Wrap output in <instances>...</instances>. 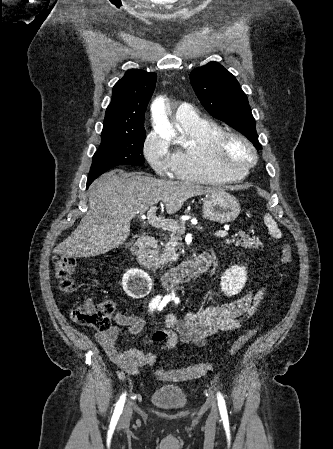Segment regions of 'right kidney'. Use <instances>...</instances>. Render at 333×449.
<instances>
[{
    "label": "right kidney",
    "mask_w": 333,
    "mask_h": 449,
    "mask_svg": "<svg viewBox=\"0 0 333 449\" xmlns=\"http://www.w3.org/2000/svg\"><path fill=\"white\" fill-rule=\"evenodd\" d=\"M122 286L128 296L132 298H141L151 290L152 280L145 271L131 269L124 274Z\"/></svg>",
    "instance_id": "ca27d5eb"
}]
</instances>
